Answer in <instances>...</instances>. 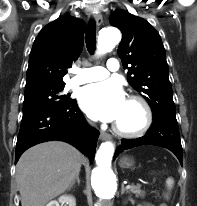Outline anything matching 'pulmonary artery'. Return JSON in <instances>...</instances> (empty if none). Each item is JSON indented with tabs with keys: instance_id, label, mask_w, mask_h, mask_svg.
I'll list each match as a JSON object with an SVG mask.
<instances>
[{
	"instance_id": "1",
	"label": "pulmonary artery",
	"mask_w": 197,
	"mask_h": 206,
	"mask_svg": "<svg viewBox=\"0 0 197 206\" xmlns=\"http://www.w3.org/2000/svg\"><path fill=\"white\" fill-rule=\"evenodd\" d=\"M118 69L119 61L116 58H110L107 61L106 67L95 66L78 69L77 74L70 79L69 85L76 86L88 82L102 80L108 77L110 72L117 71Z\"/></svg>"
}]
</instances>
